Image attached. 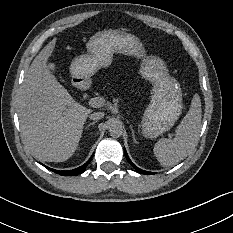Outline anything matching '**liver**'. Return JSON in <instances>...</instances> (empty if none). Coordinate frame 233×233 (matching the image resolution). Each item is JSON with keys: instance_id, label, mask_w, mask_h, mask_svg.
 <instances>
[{"instance_id": "obj_1", "label": "liver", "mask_w": 233, "mask_h": 233, "mask_svg": "<svg viewBox=\"0 0 233 233\" xmlns=\"http://www.w3.org/2000/svg\"><path fill=\"white\" fill-rule=\"evenodd\" d=\"M56 40L53 38L32 61L17 101L26 146L36 158L48 162H64L73 155L92 112L76 102L48 69Z\"/></svg>"}]
</instances>
